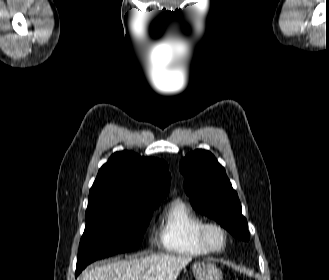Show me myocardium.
<instances>
[{"label":"myocardium","mask_w":329,"mask_h":280,"mask_svg":"<svg viewBox=\"0 0 329 280\" xmlns=\"http://www.w3.org/2000/svg\"><path fill=\"white\" fill-rule=\"evenodd\" d=\"M216 230L222 235V244L215 246L210 240V232ZM198 239L200 243L212 253H218L223 251L228 243V232L226 228L215 221H207L202 224L198 232Z\"/></svg>","instance_id":"1"}]
</instances>
